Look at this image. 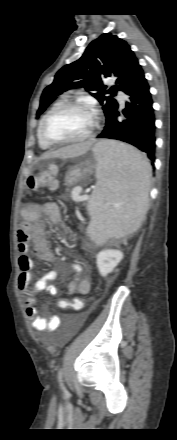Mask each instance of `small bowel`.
Listing matches in <instances>:
<instances>
[{
	"label": "small bowel",
	"instance_id": "1",
	"mask_svg": "<svg viewBox=\"0 0 177 440\" xmlns=\"http://www.w3.org/2000/svg\"><path fill=\"white\" fill-rule=\"evenodd\" d=\"M22 215L26 220V224L19 227L17 231L18 265L20 269L18 288L25 298L26 315L31 326L39 331H54L61 325L62 316L54 314L47 320L41 318L39 309L36 306V294L38 292H47L56 296L58 289L52 282L58 278L59 273L57 270H50L42 278L38 279L33 286H30L33 260L29 253V240L32 239L35 253L40 259L53 261L54 256L42 220L47 218L67 233L70 229L63 223L59 207L53 202L30 204L23 209ZM72 268L74 275L68 285V293L70 295L75 293L87 295L91 289V280L88 272H86V276L81 277L84 269L78 264H74Z\"/></svg>",
	"mask_w": 177,
	"mask_h": 440
}]
</instances>
